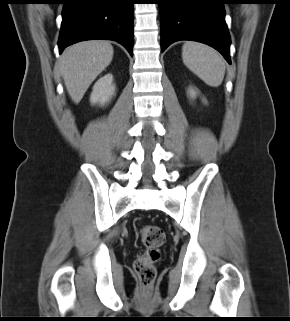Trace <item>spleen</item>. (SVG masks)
Instances as JSON below:
<instances>
[{
    "label": "spleen",
    "instance_id": "3e777b00",
    "mask_svg": "<svg viewBox=\"0 0 290 321\" xmlns=\"http://www.w3.org/2000/svg\"><path fill=\"white\" fill-rule=\"evenodd\" d=\"M182 59L207 85L217 87L222 83L225 63L216 50L200 43L186 42L182 48Z\"/></svg>",
    "mask_w": 290,
    "mask_h": 321
}]
</instances>
